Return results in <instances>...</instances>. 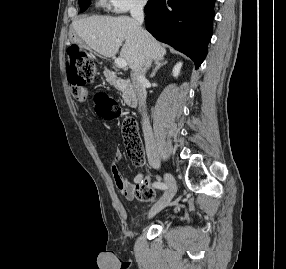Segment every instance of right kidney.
Masks as SVG:
<instances>
[{
    "mask_svg": "<svg viewBox=\"0 0 286 269\" xmlns=\"http://www.w3.org/2000/svg\"><path fill=\"white\" fill-rule=\"evenodd\" d=\"M181 67H182V63L179 62L177 63L174 68H173V76L174 77H178L179 73H180V70H181Z\"/></svg>",
    "mask_w": 286,
    "mask_h": 269,
    "instance_id": "ca27d5eb",
    "label": "right kidney"
}]
</instances>
